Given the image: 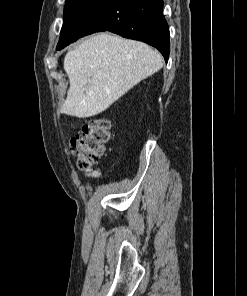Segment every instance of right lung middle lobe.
<instances>
[{
  "label": "right lung middle lobe",
  "instance_id": "1",
  "mask_svg": "<svg viewBox=\"0 0 247 296\" xmlns=\"http://www.w3.org/2000/svg\"><path fill=\"white\" fill-rule=\"evenodd\" d=\"M108 0H66L64 22L57 50L76 41L86 32L88 20L101 9Z\"/></svg>",
  "mask_w": 247,
  "mask_h": 296
}]
</instances>
